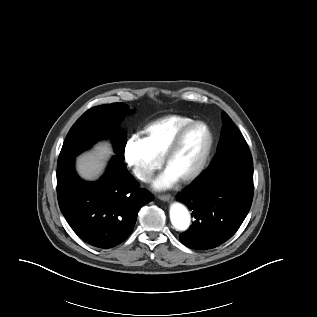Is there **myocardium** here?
I'll return each mask as SVG.
<instances>
[{"mask_svg": "<svg viewBox=\"0 0 317 317\" xmlns=\"http://www.w3.org/2000/svg\"><path fill=\"white\" fill-rule=\"evenodd\" d=\"M196 126H202L205 128L206 132H207V136H208V141H207V145L205 148V151L199 161V163L197 164V166L187 175H185L182 178H179L180 182L182 183H190L192 181H194L195 179H197L202 172L205 170L212 150H213V145H214V136H213V132L211 130V128L209 127V125L201 120H193L190 123H188L187 125H185L183 128H181L178 133L175 135L174 139L172 140L171 144L169 145L165 155H164V164L165 166L168 168V165L171 161V159L175 156V154L177 153V151L179 150L183 139L185 138V136L187 135V133L194 127Z\"/></svg>", "mask_w": 317, "mask_h": 317, "instance_id": "f54148a6", "label": "myocardium"}]
</instances>
